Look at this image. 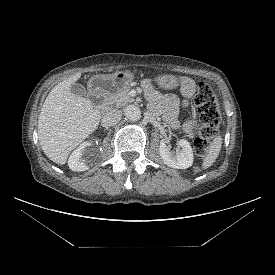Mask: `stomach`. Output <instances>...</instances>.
Here are the masks:
<instances>
[{
  "label": "stomach",
  "instance_id": "0dacf381",
  "mask_svg": "<svg viewBox=\"0 0 275 275\" xmlns=\"http://www.w3.org/2000/svg\"><path fill=\"white\" fill-rule=\"evenodd\" d=\"M133 79L132 72L120 71L112 75H95L90 78L88 85L94 92L111 95L130 84ZM156 81L165 89H173L179 85V78L171 74L160 75Z\"/></svg>",
  "mask_w": 275,
  "mask_h": 275
}]
</instances>
